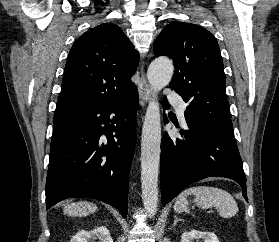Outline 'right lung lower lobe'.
I'll use <instances>...</instances> for the list:
<instances>
[{"instance_id":"obj_1","label":"right lung lower lobe","mask_w":279,"mask_h":242,"mask_svg":"<svg viewBox=\"0 0 279 242\" xmlns=\"http://www.w3.org/2000/svg\"><path fill=\"white\" fill-rule=\"evenodd\" d=\"M137 106L136 90L111 105L54 117L46 209L66 198L87 197L116 207L126 217Z\"/></svg>"}]
</instances>
